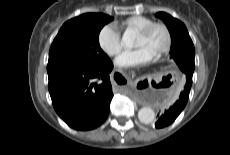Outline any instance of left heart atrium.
Segmentation results:
<instances>
[{
	"mask_svg": "<svg viewBox=\"0 0 230 155\" xmlns=\"http://www.w3.org/2000/svg\"><path fill=\"white\" fill-rule=\"evenodd\" d=\"M155 56L147 47H140L135 50L123 52L116 60L115 64L121 68L136 67L147 64Z\"/></svg>",
	"mask_w": 230,
	"mask_h": 155,
	"instance_id": "left-heart-atrium-1",
	"label": "left heart atrium"
}]
</instances>
